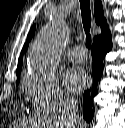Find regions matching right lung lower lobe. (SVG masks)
I'll list each match as a JSON object with an SVG mask.
<instances>
[{"label":"right lung lower lobe","instance_id":"98d812e1","mask_svg":"<svg viewBox=\"0 0 125 128\" xmlns=\"http://www.w3.org/2000/svg\"><path fill=\"white\" fill-rule=\"evenodd\" d=\"M112 48V39L109 28L101 35L93 40L91 54L93 58L92 75L93 85L90 89L84 92L83 100V117L86 121H91L94 114L93 98L98 93V83L103 74L104 57Z\"/></svg>","mask_w":125,"mask_h":128}]
</instances>
